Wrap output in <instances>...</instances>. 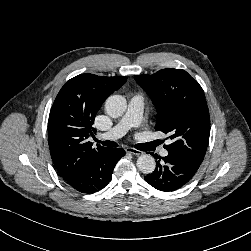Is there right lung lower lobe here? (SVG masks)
Returning a JSON list of instances; mask_svg holds the SVG:
<instances>
[{
	"label": "right lung lower lobe",
	"mask_w": 251,
	"mask_h": 251,
	"mask_svg": "<svg viewBox=\"0 0 251 251\" xmlns=\"http://www.w3.org/2000/svg\"><path fill=\"white\" fill-rule=\"evenodd\" d=\"M125 155L122 148H107L86 158L66 183L75 190L91 194L104 188L111 180L118 160Z\"/></svg>",
	"instance_id": "98d812e1"
}]
</instances>
